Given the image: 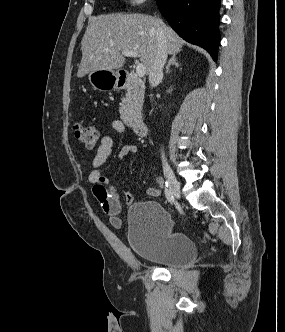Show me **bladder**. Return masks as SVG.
<instances>
[{"instance_id":"1","label":"bladder","mask_w":285,"mask_h":332,"mask_svg":"<svg viewBox=\"0 0 285 332\" xmlns=\"http://www.w3.org/2000/svg\"><path fill=\"white\" fill-rule=\"evenodd\" d=\"M127 221L128 245L138 258L172 269L188 267L197 259L195 243L174 231L170 215L158 202L135 203Z\"/></svg>"}]
</instances>
